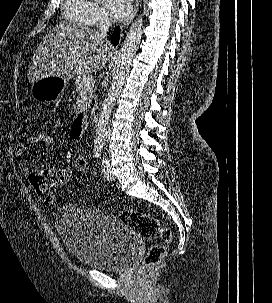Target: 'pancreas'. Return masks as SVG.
<instances>
[{
  "label": "pancreas",
  "instance_id": "cf45deb5",
  "mask_svg": "<svg viewBox=\"0 0 272 303\" xmlns=\"http://www.w3.org/2000/svg\"><path fill=\"white\" fill-rule=\"evenodd\" d=\"M75 87H76V91L78 93L77 103L79 105L89 104L91 99L93 98L94 85H89V86L83 85L81 83V79L76 78Z\"/></svg>",
  "mask_w": 272,
  "mask_h": 303
}]
</instances>
